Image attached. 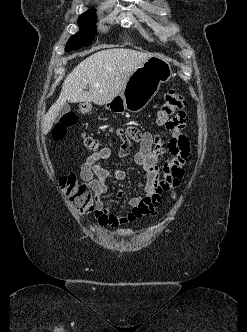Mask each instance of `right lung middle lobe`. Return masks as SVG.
Returning <instances> with one entry per match:
<instances>
[{"label":"right lung middle lobe","mask_w":247,"mask_h":332,"mask_svg":"<svg viewBox=\"0 0 247 332\" xmlns=\"http://www.w3.org/2000/svg\"><path fill=\"white\" fill-rule=\"evenodd\" d=\"M96 21L97 17L94 10H89L82 14L78 19L80 32L69 39L66 44L65 51L79 49L82 48V46H88L96 34Z\"/></svg>","instance_id":"obj_1"}]
</instances>
